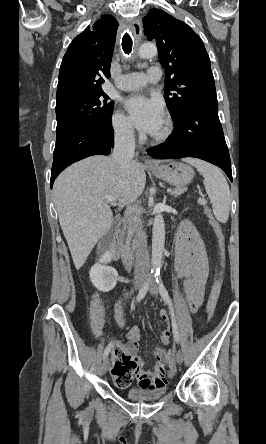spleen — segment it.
<instances>
[{"label": "spleen", "instance_id": "1", "mask_svg": "<svg viewBox=\"0 0 266 444\" xmlns=\"http://www.w3.org/2000/svg\"><path fill=\"white\" fill-rule=\"evenodd\" d=\"M183 161L195 166L204 177L208 197L212 203L215 217L221 223H226L231 204L230 189L223 173L212 164L196 158H185Z\"/></svg>", "mask_w": 266, "mask_h": 444}]
</instances>
